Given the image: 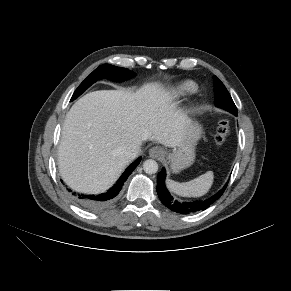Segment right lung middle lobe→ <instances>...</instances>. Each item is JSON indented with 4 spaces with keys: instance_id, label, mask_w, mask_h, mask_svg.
<instances>
[{
    "instance_id": "1",
    "label": "right lung middle lobe",
    "mask_w": 291,
    "mask_h": 291,
    "mask_svg": "<svg viewBox=\"0 0 291 291\" xmlns=\"http://www.w3.org/2000/svg\"><path fill=\"white\" fill-rule=\"evenodd\" d=\"M133 76V73L126 68L116 67L110 64H103L95 69L76 89L71 101L80 96L97 79L106 77L111 80H124Z\"/></svg>"
}]
</instances>
